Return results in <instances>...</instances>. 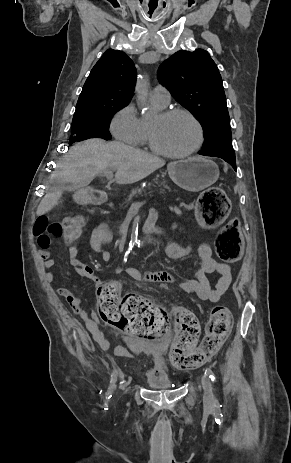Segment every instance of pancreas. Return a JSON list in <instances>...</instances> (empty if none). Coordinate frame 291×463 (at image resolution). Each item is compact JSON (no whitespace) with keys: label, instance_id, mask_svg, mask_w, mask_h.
<instances>
[{"label":"pancreas","instance_id":"cf45deb5","mask_svg":"<svg viewBox=\"0 0 291 463\" xmlns=\"http://www.w3.org/2000/svg\"><path fill=\"white\" fill-rule=\"evenodd\" d=\"M176 192V189L173 188L168 182L164 180H153L152 183H148L146 187H141L134 189L129 195V201L134 197H143V196H152L158 194L160 196H165L167 193Z\"/></svg>","mask_w":291,"mask_h":463}]
</instances>
